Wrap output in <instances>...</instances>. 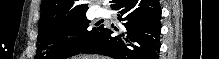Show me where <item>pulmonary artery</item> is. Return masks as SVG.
<instances>
[{
	"label": "pulmonary artery",
	"instance_id": "obj_1",
	"mask_svg": "<svg viewBox=\"0 0 219 59\" xmlns=\"http://www.w3.org/2000/svg\"><path fill=\"white\" fill-rule=\"evenodd\" d=\"M98 16H103L106 14V11L104 9H98L97 11Z\"/></svg>",
	"mask_w": 219,
	"mask_h": 59
}]
</instances>
